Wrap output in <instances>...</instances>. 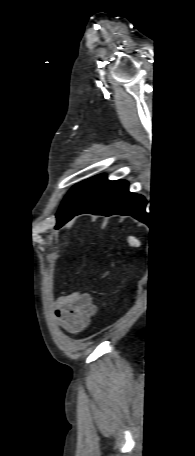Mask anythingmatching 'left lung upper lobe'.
<instances>
[{"instance_id":"1","label":"left lung upper lobe","mask_w":195,"mask_h":456,"mask_svg":"<svg viewBox=\"0 0 195 456\" xmlns=\"http://www.w3.org/2000/svg\"><path fill=\"white\" fill-rule=\"evenodd\" d=\"M107 181L106 175H98L76 184L66 195L56 214V228H60L70 216L94 197Z\"/></svg>"}]
</instances>
